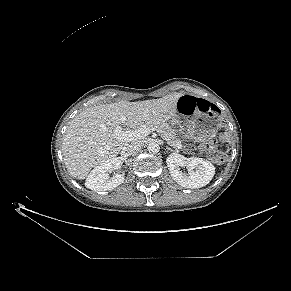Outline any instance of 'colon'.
Wrapping results in <instances>:
<instances>
[{
  "label": "colon",
  "instance_id": "5ec220e1",
  "mask_svg": "<svg viewBox=\"0 0 291 291\" xmlns=\"http://www.w3.org/2000/svg\"><path fill=\"white\" fill-rule=\"evenodd\" d=\"M179 109L186 115H191L195 112H210L215 111L214 106L207 100L202 98H189L183 96L179 99ZM203 151L210 156V158L217 164H221L225 161L223 156L217 155L218 142L213 139L203 144Z\"/></svg>",
  "mask_w": 291,
  "mask_h": 291
}]
</instances>
